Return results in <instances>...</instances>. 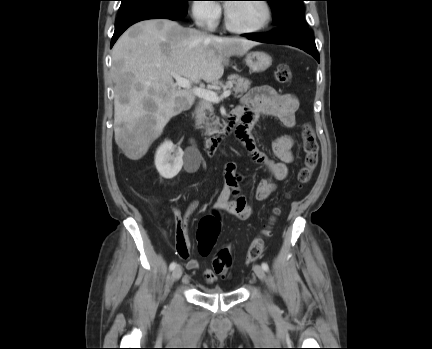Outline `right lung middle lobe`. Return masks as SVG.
<instances>
[{
	"mask_svg": "<svg viewBox=\"0 0 432 349\" xmlns=\"http://www.w3.org/2000/svg\"><path fill=\"white\" fill-rule=\"evenodd\" d=\"M118 16L135 10L145 8H155L172 13L180 18L184 17L188 11V1L190 0H120Z\"/></svg>",
	"mask_w": 432,
	"mask_h": 349,
	"instance_id": "1",
	"label": "right lung middle lobe"
}]
</instances>
